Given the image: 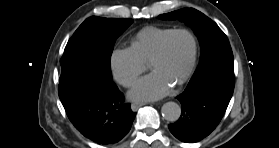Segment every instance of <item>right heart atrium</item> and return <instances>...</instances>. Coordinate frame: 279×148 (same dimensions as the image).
Segmentation results:
<instances>
[{
    "mask_svg": "<svg viewBox=\"0 0 279 148\" xmlns=\"http://www.w3.org/2000/svg\"><path fill=\"white\" fill-rule=\"evenodd\" d=\"M114 79L123 86H132L145 70V62L132 47L115 49L110 58Z\"/></svg>",
    "mask_w": 279,
    "mask_h": 148,
    "instance_id": "obj_1",
    "label": "right heart atrium"
}]
</instances>
